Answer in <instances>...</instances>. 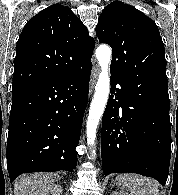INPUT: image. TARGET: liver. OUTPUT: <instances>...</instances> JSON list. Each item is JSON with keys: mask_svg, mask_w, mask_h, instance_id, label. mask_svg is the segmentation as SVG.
<instances>
[{"mask_svg": "<svg viewBox=\"0 0 178 195\" xmlns=\"http://www.w3.org/2000/svg\"><path fill=\"white\" fill-rule=\"evenodd\" d=\"M58 178L55 173L21 175L14 183V195H31L39 187L52 184Z\"/></svg>", "mask_w": 178, "mask_h": 195, "instance_id": "obj_1", "label": "liver"}]
</instances>
